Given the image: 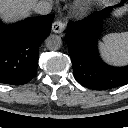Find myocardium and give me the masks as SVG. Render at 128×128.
Wrapping results in <instances>:
<instances>
[{
	"instance_id": "myocardium-1",
	"label": "myocardium",
	"mask_w": 128,
	"mask_h": 128,
	"mask_svg": "<svg viewBox=\"0 0 128 128\" xmlns=\"http://www.w3.org/2000/svg\"><path fill=\"white\" fill-rule=\"evenodd\" d=\"M95 0H78L75 11L79 16H86L94 7Z\"/></svg>"
}]
</instances>
